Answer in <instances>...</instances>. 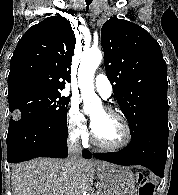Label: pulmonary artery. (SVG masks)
<instances>
[{"label": "pulmonary artery", "instance_id": "1", "mask_svg": "<svg viewBox=\"0 0 178 195\" xmlns=\"http://www.w3.org/2000/svg\"><path fill=\"white\" fill-rule=\"evenodd\" d=\"M94 83H95V88H96L97 92L104 99H108L111 97V95L113 93V88H112V85H111V83L106 75H104V74L97 75Z\"/></svg>", "mask_w": 178, "mask_h": 195}]
</instances>
